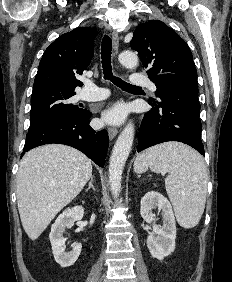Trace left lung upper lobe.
<instances>
[{"label":"left lung upper lobe","instance_id":"5c2ea615","mask_svg":"<svg viewBox=\"0 0 232 282\" xmlns=\"http://www.w3.org/2000/svg\"><path fill=\"white\" fill-rule=\"evenodd\" d=\"M133 34L131 48L139 53L157 89L164 86L198 88L192 53L174 30L162 21L151 20L138 25Z\"/></svg>","mask_w":232,"mask_h":282}]
</instances>
